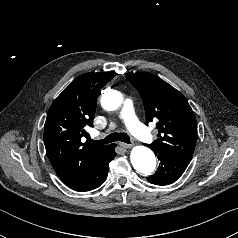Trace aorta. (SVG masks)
Returning <instances> with one entry per match:
<instances>
[{"instance_id":"762f6f07","label":"aorta","mask_w":238,"mask_h":238,"mask_svg":"<svg viewBox=\"0 0 238 238\" xmlns=\"http://www.w3.org/2000/svg\"><path fill=\"white\" fill-rule=\"evenodd\" d=\"M121 103L122 97L116 90H109L102 95L101 105L105 110H117L121 106ZM130 159L134 169L140 173L150 175L155 170V155L145 146L134 147L131 151Z\"/></svg>"}]
</instances>
